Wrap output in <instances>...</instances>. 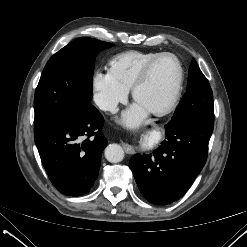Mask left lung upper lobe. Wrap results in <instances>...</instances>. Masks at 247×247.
Segmentation results:
<instances>
[{"label":"left lung upper lobe","mask_w":247,"mask_h":247,"mask_svg":"<svg viewBox=\"0 0 247 247\" xmlns=\"http://www.w3.org/2000/svg\"><path fill=\"white\" fill-rule=\"evenodd\" d=\"M190 115L214 121L213 93L195 59L189 68L187 92L168 124L173 125L177 120Z\"/></svg>","instance_id":"obj_1"}]
</instances>
